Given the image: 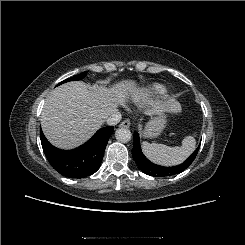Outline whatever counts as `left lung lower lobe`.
<instances>
[{
    "label": "left lung lower lobe",
    "mask_w": 245,
    "mask_h": 245,
    "mask_svg": "<svg viewBox=\"0 0 245 245\" xmlns=\"http://www.w3.org/2000/svg\"><path fill=\"white\" fill-rule=\"evenodd\" d=\"M134 146L132 149L133 159L135 160L139 169L147 175L154 177H166L178 174L184 171L194 161L199 147L192 153V155L184 161L181 165L174 167H163L150 162L142 153L139 141V134H134Z\"/></svg>",
    "instance_id": "obj_1"
}]
</instances>
